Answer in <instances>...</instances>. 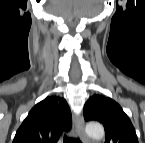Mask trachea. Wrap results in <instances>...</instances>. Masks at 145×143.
<instances>
[{
	"instance_id": "3493384b",
	"label": "trachea",
	"mask_w": 145,
	"mask_h": 143,
	"mask_svg": "<svg viewBox=\"0 0 145 143\" xmlns=\"http://www.w3.org/2000/svg\"><path fill=\"white\" fill-rule=\"evenodd\" d=\"M64 143H82L78 138L64 136Z\"/></svg>"
}]
</instances>
